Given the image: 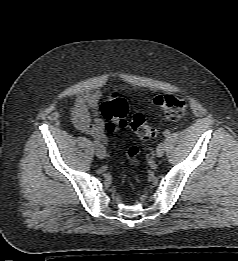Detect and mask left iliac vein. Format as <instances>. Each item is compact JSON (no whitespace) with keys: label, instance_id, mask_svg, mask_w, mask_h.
<instances>
[{"label":"left iliac vein","instance_id":"obj_1","mask_svg":"<svg viewBox=\"0 0 238 261\" xmlns=\"http://www.w3.org/2000/svg\"><path fill=\"white\" fill-rule=\"evenodd\" d=\"M165 151V144L164 143H160L157 148H156V156L158 158L162 157Z\"/></svg>","mask_w":238,"mask_h":261}]
</instances>
